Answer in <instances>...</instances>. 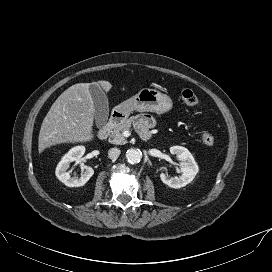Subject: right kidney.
<instances>
[{"mask_svg":"<svg viewBox=\"0 0 272 272\" xmlns=\"http://www.w3.org/2000/svg\"><path fill=\"white\" fill-rule=\"evenodd\" d=\"M85 153L84 146H76L69 150L65 154L56 167L55 174L57 178L68 187H80L83 186L93 176L94 170L92 167L81 165L82 173L78 178L76 176L71 177L67 169L71 162L79 161Z\"/></svg>","mask_w":272,"mask_h":272,"instance_id":"right-kidney-1","label":"right kidney"}]
</instances>
